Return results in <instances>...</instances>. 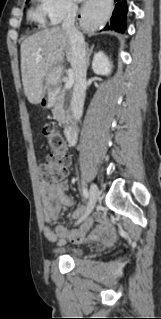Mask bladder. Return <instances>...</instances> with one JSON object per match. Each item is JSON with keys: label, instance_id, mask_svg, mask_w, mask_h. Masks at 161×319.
Instances as JSON below:
<instances>
[{"label": "bladder", "instance_id": "obj_1", "mask_svg": "<svg viewBox=\"0 0 161 319\" xmlns=\"http://www.w3.org/2000/svg\"><path fill=\"white\" fill-rule=\"evenodd\" d=\"M52 254L55 255V256H71V257H74V256H77L79 255L80 251L78 248H75V247H65V246H57V247H54L52 250H51Z\"/></svg>", "mask_w": 161, "mask_h": 319}]
</instances>
